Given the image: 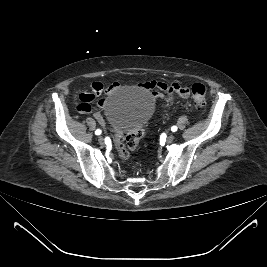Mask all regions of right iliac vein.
Listing matches in <instances>:
<instances>
[{
    "label": "right iliac vein",
    "mask_w": 267,
    "mask_h": 267,
    "mask_svg": "<svg viewBox=\"0 0 267 267\" xmlns=\"http://www.w3.org/2000/svg\"><path fill=\"white\" fill-rule=\"evenodd\" d=\"M98 141H99V143H100L101 145H104V139H103L102 136H99V137H98Z\"/></svg>",
    "instance_id": "63e3f726"
}]
</instances>
